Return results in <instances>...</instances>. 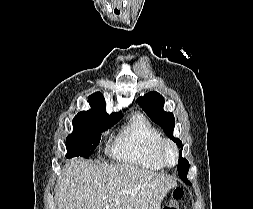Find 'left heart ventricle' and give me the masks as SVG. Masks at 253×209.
<instances>
[{"instance_id":"b2bd125f","label":"left heart ventricle","mask_w":253,"mask_h":209,"mask_svg":"<svg viewBox=\"0 0 253 209\" xmlns=\"http://www.w3.org/2000/svg\"><path fill=\"white\" fill-rule=\"evenodd\" d=\"M167 159L169 162L173 163L174 162V153L172 149H168L166 153Z\"/></svg>"}]
</instances>
